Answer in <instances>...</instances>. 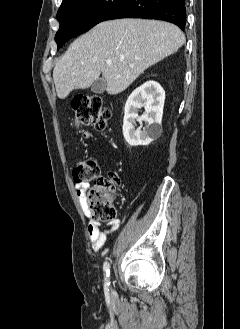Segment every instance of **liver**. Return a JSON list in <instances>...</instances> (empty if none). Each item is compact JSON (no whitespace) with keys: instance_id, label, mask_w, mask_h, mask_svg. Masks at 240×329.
I'll use <instances>...</instances> for the list:
<instances>
[{"instance_id":"1","label":"liver","mask_w":240,"mask_h":329,"mask_svg":"<svg viewBox=\"0 0 240 329\" xmlns=\"http://www.w3.org/2000/svg\"><path fill=\"white\" fill-rule=\"evenodd\" d=\"M184 42L183 32L163 21L101 22L77 38L55 65L57 96L65 99L73 90L90 87L101 73L107 93H121L147 68L177 52ZM107 60L112 63L108 65Z\"/></svg>"}]
</instances>
